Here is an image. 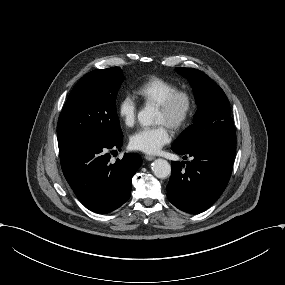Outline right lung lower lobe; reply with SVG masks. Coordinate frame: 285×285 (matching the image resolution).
Wrapping results in <instances>:
<instances>
[{
	"instance_id": "right-lung-lower-lobe-1",
	"label": "right lung lower lobe",
	"mask_w": 285,
	"mask_h": 285,
	"mask_svg": "<svg viewBox=\"0 0 285 285\" xmlns=\"http://www.w3.org/2000/svg\"><path fill=\"white\" fill-rule=\"evenodd\" d=\"M122 139L76 140L59 144L63 174L80 202L96 213H109L131 195V179L141 165L138 154L125 153L111 164L109 149H119Z\"/></svg>"
}]
</instances>
